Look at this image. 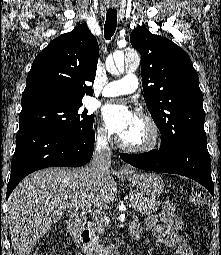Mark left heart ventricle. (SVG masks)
Wrapping results in <instances>:
<instances>
[{
  "label": "left heart ventricle",
  "mask_w": 221,
  "mask_h": 255,
  "mask_svg": "<svg viewBox=\"0 0 221 255\" xmlns=\"http://www.w3.org/2000/svg\"><path fill=\"white\" fill-rule=\"evenodd\" d=\"M120 138L129 144H142L149 139V130L146 124L135 116L131 126Z\"/></svg>",
  "instance_id": "b2bd125f"
}]
</instances>
